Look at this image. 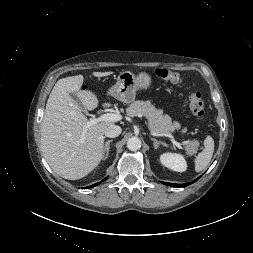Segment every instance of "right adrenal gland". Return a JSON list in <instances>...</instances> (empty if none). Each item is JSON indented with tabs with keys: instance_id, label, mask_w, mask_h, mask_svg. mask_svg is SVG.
Listing matches in <instances>:
<instances>
[{
	"instance_id": "obj_1",
	"label": "right adrenal gland",
	"mask_w": 253,
	"mask_h": 253,
	"mask_svg": "<svg viewBox=\"0 0 253 253\" xmlns=\"http://www.w3.org/2000/svg\"><path fill=\"white\" fill-rule=\"evenodd\" d=\"M113 140H108L106 141L105 143V146H104V149H103V159H107L108 158V154H109V150H110V143L112 142Z\"/></svg>"
}]
</instances>
